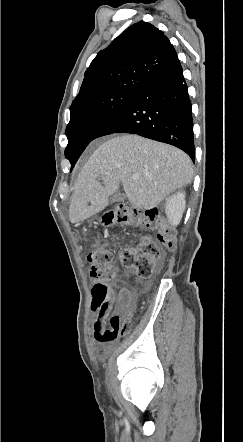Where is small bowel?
Wrapping results in <instances>:
<instances>
[{
	"label": "small bowel",
	"mask_w": 243,
	"mask_h": 442,
	"mask_svg": "<svg viewBox=\"0 0 243 442\" xmlns=\"http://www.w3.org/2000/svg\"><path fill=\"white\" fill-rule=\"evenodd\" d=\"M136 293L127 289H122L117 297H114L112 304L109 306H103L101 308H93L92 312L94 314L93 319V336L95 341L98 344V347L103 355L107 354L109 351V346L112 341H103L101 340V336L107 330L106 329V318L109 315V312L112 308L114 302L115 306V314L126 311L130 308H133L135 302Z\"/></svg>",
	"instance_id": "obj_1"
}]
</instances>
